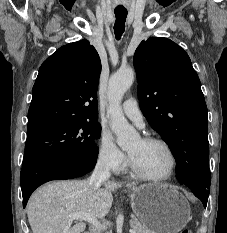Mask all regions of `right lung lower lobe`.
<instances>
[{
    "label": "right lung lower lobe",
    "mask_w": 227,
    "mask_h": 233,
    "mask_svg": "<svg viewBox=\"0 0 227 233\" xmlns=\"http://www.w3.org/2000/svg\"><path fill=\"white\" fill-rule=\"evenodd\" d=\"M97 156L82 160L73 157L55 156L37 160L22 167L20 174L23 195V207L32 192L45 182L57 179H72L90 172L96 163Z\"/></svg>",
    "instance_id": "obj_1"
}]
</instances>
